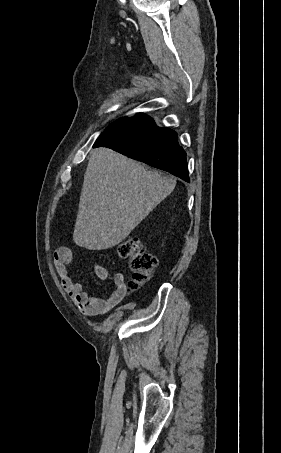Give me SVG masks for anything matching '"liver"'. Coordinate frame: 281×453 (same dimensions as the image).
<instances>
[{
  "mask_svg": "<svg viewBox=\"0 0 281 453\" xmlns=\"http://www.w3.org/2000/svg\"><path fill=\"white\" fill-rule=\"evenodd\" d=\"M175 184L110 148H94L81 188L74 243L89 251L119 245Z\"/></svg>",
  "mask_w": 281,
  "mask_h": 453,
  "instance_id": "6515ba94",
  "label": "liver"
}]
</instances>
